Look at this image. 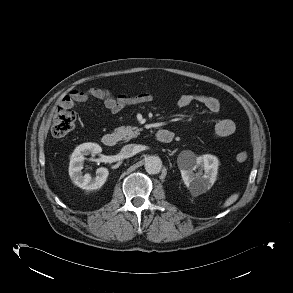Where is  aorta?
<instances>
[{"instance_id":"aorta-1","label":"aorta","mask_w":293,"mask_h":293,"mask_svg":"<svg viewBox=\"0 0 293 293\" xmlns=\"http://www.w3.org/2000/svg\"><path fill=\"white\" fill-rule=\"evenodd\" d=\"M162 169V161L158 156H148L145 159V170L149 174H158Z\"/></svg>"}]
</instances>
